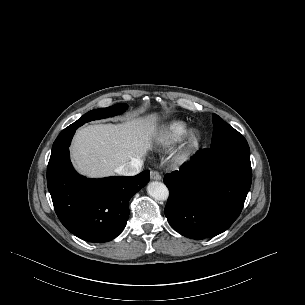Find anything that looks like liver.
Here are the masks:
<instances>
[{
	"mask_svg": "<svg viewBox=\"0 0 305 305\" xmlns=\"http://www.w3.org/2000/svg\"><path fill=\"white\" fill-rule=\"evenodd\" d=\"M157 114L121 124H97L79 129L70 149L77 171L87 177H105L153 147Z\"/></svg>",
	"mask_w": 305,
	"mask_h": 305,
	"instance_id": "obj_1",
	"label": "liver"
}]
</instances>
